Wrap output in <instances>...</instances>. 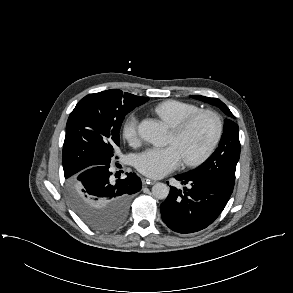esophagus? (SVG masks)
Returning a JSON list of instances; mask_svg holds the SVG:
<instances>
[{
	"label": "esophagus",
	"instance_id": "esophagus-1",
	"mask_svg": "<svg viewBox=\"0 0 293 293\" xmlns=\"http://www.w3.org/2000/svg\"><path fill=\"white\" fill-rule=\"evenodd\" d=\"M155 182H156V181L153 180V179H151V178H144V179H143V183H144V185L153 184V183H155Z\"/></svg>",
	"mask_w": 293,
	"mask_h": 293
}]
</instances>
